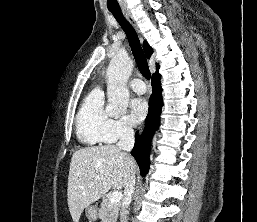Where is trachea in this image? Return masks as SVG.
Returning <instances> with one entry per match:
<instances>
[{"mask_svg": "<svg viewBox=\"0 0 257 222\" xmlns=\"http://www.w3.org/2000/svg\"><path fill=\"white\" fill-rule=\"evenodd\" d=\"M110 12L117 20L119 25L122 27V29L124 30L127 36L134 59L136 61V64L140 73L143 75V77L149 80L151 77V73L149 70L147 59L145 57V54L143 52V49L141 47V44L135 29L130 24V22L124 17L121 10H110Z\"/></svg>", "mask_w": 257, "mask_h": 222, "instance_id": "1", "label": "trachea"}]
</instances>
